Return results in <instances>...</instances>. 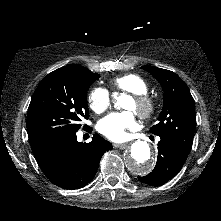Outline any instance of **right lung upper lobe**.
Returning a JSON list of instances; mask_svg holds the SVG:
<instances>
[{
	"label": "right lung upper lobe",
	"instance_id": "cb5924a9",
	"mask_svg": "<svg viewBox=\"0 0 221 221\" xmlns=\"http://www.w3.org/2000/svg\"><path fill=\"white\" fill-rule=\"evenodd\" d=\"M62 68H66V69H84L85 67L83 66H80V65H77V64H72V65H67V66H64Z\"/></svg>",
	"mask_w": 221,
	"mask_h": 221
}]
</instances>
